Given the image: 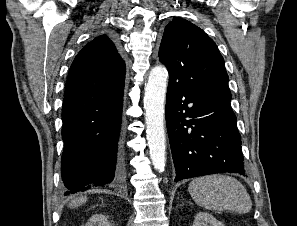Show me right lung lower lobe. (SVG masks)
Masks as SVG:
<instances>
[{
	"mask_svg": "<svg viewBox=\"0 0 297 226\" xmlns=\"http://www.w3.org/2000/svg\"><path fill=\"white\" fill-rule=\"evenodd\" d=\"M123 92L124 85L64 97V195L121 183Z\"/></svg>",
	"mask_w": 297,
	"mask_h": 226,
	"instance_id": "98d812e1",
	"label": "right lung lower lobe"
}]
</instances>
